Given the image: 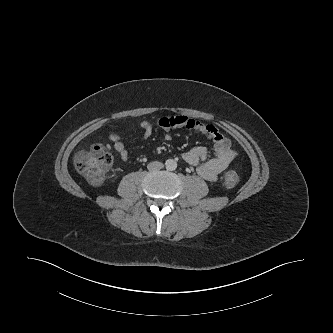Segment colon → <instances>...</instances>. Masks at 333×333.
I'll use <instances>...</instances> for the list:
<instances>
[{
    "label": "colon",
    "mask_w": 333,
    "mask_h": 333,
    "mask_svg": "<svg viewBox=\"0 0 333 333\" xmlns=\"http://www.w3.org/2000/svg\"><path fill=\"white\" fill-rule=\"evenodd\" d=\"M112 155L102 145H94L89 150L79 152L74 160L76 170L91 184L100 185L106 178L111 166ZM239 182L235 170H229L224 175V185L234 187Z\"/></svg>",
    "instance_id": "1"
}]
</instances>
